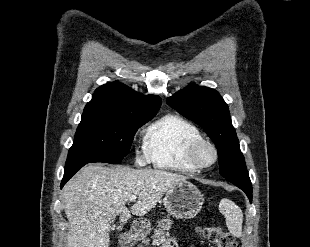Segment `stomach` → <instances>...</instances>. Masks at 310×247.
Returning <instances> with one entry per match:
<instances>
[{"instance_id":"0dacf381","label":"stomach","mask_w":310,"mask_h":247,"mask_svg":"<svg viewBox=\"0 0 310 247\" xmlns=\"http://www.w3.org/2000/svg\"><path fill=\"white\" fill-rule=\"evenodd\" d=\"M203 194L191 182L182 181L166 192L163 204L168 217L158 222L160 230H169L172 225L170 217L177 219L194 218L202 208ZM133 238H145L151 230L146 219H138L133 224Z\"/></svg>"}]
</instances>
